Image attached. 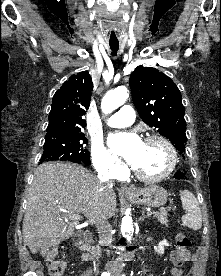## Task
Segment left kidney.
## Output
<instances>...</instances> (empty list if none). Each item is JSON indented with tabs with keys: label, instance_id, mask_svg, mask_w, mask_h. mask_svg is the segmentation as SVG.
<instances>
[{
	"label": "left kidney",
	"instance_id": "1",
	"mask_svg": "<svg viewBox=\"0 0 221 276\" xmlns=\"http://www.w3.org/2000/svg\"><path fill=\"white\" fill-rule=\"evenodd\" d=\"M168 242L166 240L161 241L157 247H154L155 252L159 255L164 253L165 247L168 246Z\"/></svg>",
	"mask_w": 221,
	"mask_h": 276
}]
</instances>
